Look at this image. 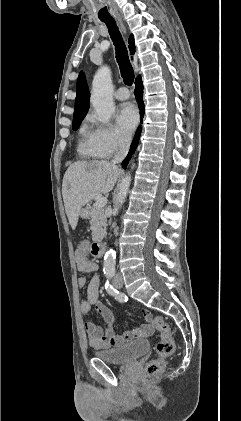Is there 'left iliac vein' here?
Here are the masks:
<instances>
[{"label":"left iliac vein","instance_id":"obj_1","mask_svg":"<svg viewBox=\"0 0 241 421\" xmlns=\"http://www.w3.org/2000/svg\"><path fill=\"white\" fill-rule=\"evenodd\" d=\"M114 286L118 289L122 288L123 280L121 277H118L116 280H114Z\"/></svg>","mask_w":241,"mask_h":421}]
</instances>
